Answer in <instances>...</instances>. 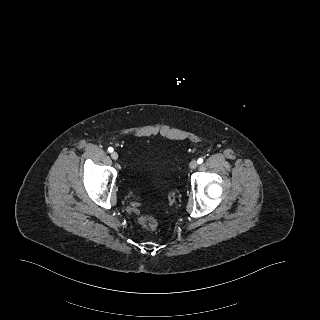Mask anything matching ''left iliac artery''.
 Listing matches in <instances>:
<instances>
[{
    "mask_svg": "<svg viewBox=\"0 0 320 320\" xmlns=\"http://www.w3.org/2000/svg\"><path fill=\"white\" fill-rule=\"evenodd\" d=\"M197 162H198V164H201L203 162V159L199 158Z\"/></svg>",
    "mask_w": 320,
    "mask_h": 320,
    "instance_id": "1",
    "label": "left iliac artery"
}]
</instances>
